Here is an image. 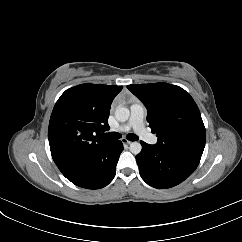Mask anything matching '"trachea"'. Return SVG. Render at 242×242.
I'll return each mask as SVG.
<instances>
[{
    "instance_id": "1",
    "label": "trachea",
    "mask_w": 242,
    "mask_h": 242,
    "mask_svg": "<svg viewBox=\"0 0 242 242\" xmlns=\"http://www.w3.org/2000/svg\"><path fill=\"white\" fill-rule=\"evenodd\" d=\"M102 138L105 139H110V140H118L121 138V134L117 133V132H110V133H102L100 135ZM127 139L129 141H137L139 138L137 135L135 134H128L127 135Z\"/></svg>"
}]
</instances>
